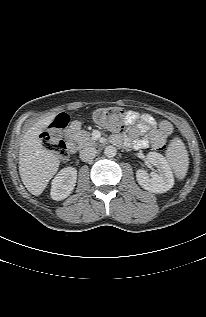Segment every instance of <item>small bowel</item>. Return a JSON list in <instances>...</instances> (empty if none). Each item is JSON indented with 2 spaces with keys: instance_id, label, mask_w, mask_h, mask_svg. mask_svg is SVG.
<instances>
[{
  "instance_id": "1",
  "label": "small bowel",
  "mask_w": 206,
  "mask_h": 317,
  "mask_svg": "<svg viewBox=\"0 0 206 317\" xmlns=\"http://www.w3.org/2000/svg\"><path fill=\"white\" fill-rule=\"evenodd\" d=\"M126 124L129 129L126 134L116 136V140L130 142L136 149L152 146L161 149L167 136L172 133L170 122L159 123L150 114H140L136 111L127 112Z\"/></svg>"
}]
</instances>
